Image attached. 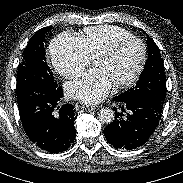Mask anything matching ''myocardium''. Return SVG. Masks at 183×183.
<instances>
[{
	"label": "myocardium",
	"instance_id": "obj_1",
	"mask_svg": "<svg viewBox=\"0 0 183 183\" xmlns=\"http://www.w3.org/2000/svg\"><path fill=\"white\" fill-rule=\"evenodd\" d=\"M129 41H135L140 44L141 50H142L140 62L130 77H128L127 79H125L121 82L113 84V87L115 89H122V88H126V87L132 85L133 83H135L137 81V79L141 75V73L145 67L146 60H147V47H146L144 41L135 36L123 37V38H120V39L114 41L112 44H110L104 50L99 52L93 58V61H96L98 59L108 58V57L112 56L123 44H125L126 42H129Z\"/></svg>",
	"mask_w": 183,
	"mask_h": 183
}]
</instances>
